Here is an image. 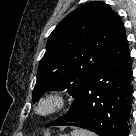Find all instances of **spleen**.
<instances>
[{
  "label": "spleen",
  "instance_id": "spleen-1",
  "mask_svg": "<svg viewBox=\"0 0 136 136\" xmlns=\"http://www.w3.org/2000/svg\"><path fill=\"white\" fill-rule=\"evenodd\" d=\"M72 136H96L83 130H76L72 133Z\"/></svg>",
  "mask_w": 136,
  "mask_h": 136
}]
</instances>
